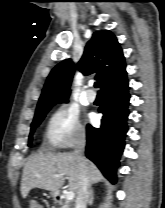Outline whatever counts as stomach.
I'll list each match as a JSON object with an SVG mask.
<instances>
[{"instance_id":"stomach-1","label":"stomach","mask_w":165,"mask_h":208,"mask_svg":"<svg viewBox=\"0 0 165 208\" xmlns=\"http://www.w3.org/2000/svg\"><path fill=\"white\" fill-rule=\"evenodd\" d=\"M50 194H51V196L54 197V198L57 197V195H58V193H56V192H51Z\"/></svg>"}]
</instances>
